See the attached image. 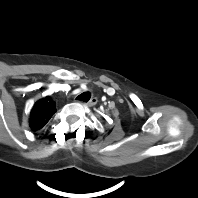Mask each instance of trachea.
<instances>
[{
    "instance_id": "trachea-1",
    "label": "trachea",
    "mask_w": 198,
    "mask_h": 198,
    "mask_svg": "<svg viewBox=\"0 0 198 198\" xmlns=\"http://www.w3.org/2000/svg\"><path fill=\"white\" fill-rule=\"evenodd\" d=\"M91 94L89 92H84L77 96L76 100L88 102L90 100Z\"/></svg>"
}]
</instances>
